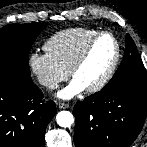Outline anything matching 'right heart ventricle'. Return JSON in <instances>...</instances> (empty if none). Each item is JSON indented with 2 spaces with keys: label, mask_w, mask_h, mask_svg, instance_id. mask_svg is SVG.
Here are the masks:
<instances>
[{
  "label": "right heart ventricle",
  "mask_w": 147,
  "mask_h": 147,
  "mask_svg": "<svg viewBox=\"0 0 147 147\" xmlns=\"http://www.w3.org/2000/svg\"><path fill=\"white\" fill-rule=\"evenodd\" d=\"M98 30L75 27L61 30L44 43L45 51L62 67L69 70L85 43Z\"/></svg>",
  "instance_id": "e07e8e85"
}]
</instances>
